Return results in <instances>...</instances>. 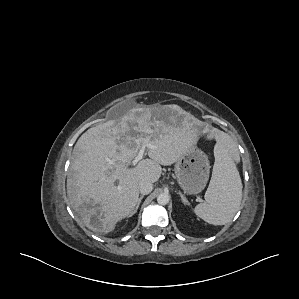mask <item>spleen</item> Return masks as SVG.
<instances>
[{
	"instance_id": "3e777b00",
	"label": "spleen",
	"mask_w": 299,
	"mask_h": 299,
	"mask_svg": "<svg viewBox=\"0 0 299 299\" xmlns=\"http://www.w3.org/2000/svg\"><path fill=\"white\" fill-rule=\"evenodd\" d=\"M215 162L212 177L205 193V203L198 204L194 212L212 225L229 223L242 200V182L232 154L218 141L214 147Z\"/></svg>"
}]
</instances>
